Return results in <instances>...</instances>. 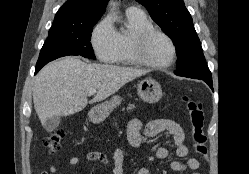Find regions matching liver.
I'll return each mask as SVG.
<instances>
[{"instance_id": "liver-1", "label": "liver", "mask_w": 249, "mask_h": 174, "mask_svg": "<svg viewBox=\"0 0 249 174\" xmlns=\"http://www.w3.org/2000/svg\"><path fill=\"white\" fill-rule=\"evenodd\" d=\"M146 73L145 70L86 63L78 57H66L49 63L36 76L34 108L44 124L53 116H69L83 110L88 104L89 91H97L89 101L90 104L97 103Z\"/></svg>"}]
</instances>
